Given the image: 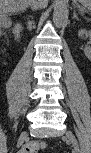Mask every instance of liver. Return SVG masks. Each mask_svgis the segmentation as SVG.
<instances>
[{
    "instance_id": "1",
    "label": "liver",
    "mask_w": 91,
    "mask_h": 153,
    "mask_svg": "<svg viewBox=\"0 0 91 153\" xmlns=\"http://www.w3.org/2000/svg\"><path fill=\"white\" fill-rule=\"evenodd\" d=\"M32 0H1V7L5 12H17L25 10Z\"/></svg>"
}]
</instances>
